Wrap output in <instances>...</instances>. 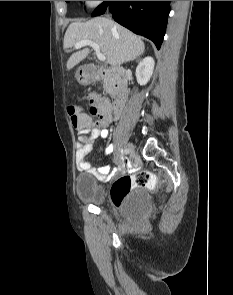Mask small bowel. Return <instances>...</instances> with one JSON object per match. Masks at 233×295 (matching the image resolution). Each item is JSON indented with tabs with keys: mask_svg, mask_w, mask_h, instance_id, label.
<instances>
[{
	"mask_svg": "<svg viewBox=\"0 0 233 295\" xmlns=\"http://www.w3.org/2000/svg\"><path fill=\"white\" fill-rule=\"evenodd\" d=\"M95 99L97 104L105 111V116L96 126L78 131L79 137L76 152V165L79 171L90 173L98 180L107 182L114 174L122 169L123 165L120 156H115L114 166L105 165L99 168H93L89 162V155L93 150L95 140L99 137H108L109 131L107 127L114 119V116L110 113V106L107 100L100 97H95ZM113 151L114 145L109 144L105 148L104 155H110Z\"/></svg>",
	"mask_w": 233,
	"mask_h": 295,
	"instance_id": "1",
	"label": "small bowel"
}]
</instances>
